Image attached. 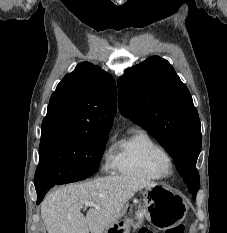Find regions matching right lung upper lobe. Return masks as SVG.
Masks as SVG:
<instances>
[{
	"mask_svg": "<svg viewBox=\"0 0 227 233\" xmlns=\"http://www.w3.org/2000/svg\"><path fill=\"white\" fill-rule=\"evenodd\" d=\"M114 78L89 62L80 63L50 98L42 134L52 131L104 133L116 112Z\"/></svg>",
	"mask_w": 227,
	"mask_h": 233,
	"instance_id": "1",
	"label": "right lung upper lobe"
}]
</instances>
